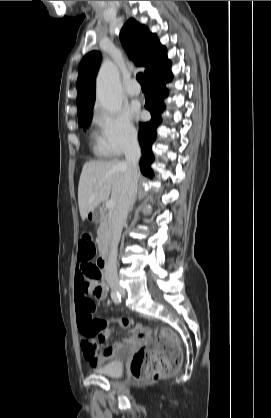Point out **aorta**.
<instances>
[{
    "label": "aorta",
    "mask_w": 271,
    "mask_h": 418,
    "mask_svg": "<svg viewBox=\"0 0 271 418\" xmlns=\"http://www.w3.org/2000/svg\"><path fill=\"white\" fill-rule=\"evenodd\" d=\"M96 85L99 104L110 112H118L122 106V93L118 69L114 63L111 61L103 63Z\"/></svg>",
    "instance_id": "obj_1"
}]
</instances>
